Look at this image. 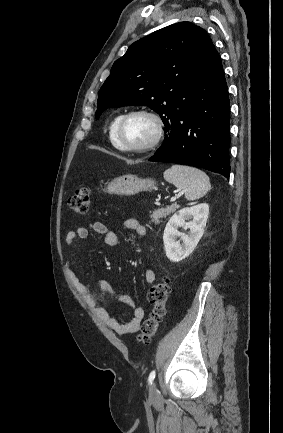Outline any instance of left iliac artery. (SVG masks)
Masks as SVG:
<instances>
[{
    "instance_id": "44dca946",
    "label": "left iliac artery",
    "mask_w": 283,
    "mask_h": 433,
    "mask_svg": "<svg viewBox=\"0 0 283 433\" xmlns=\"http://www.w3.org/2000/svg\"><path fill=\"white\" fill-rule=\"evenodd\" d=\"M155 375H156V372H155V370H153V371L150 373L149 377H148V382H149V384H152V382H153V380H154V378H155Z\"/></svg>"
}]
</instances>
